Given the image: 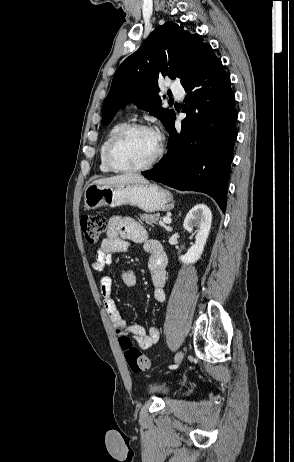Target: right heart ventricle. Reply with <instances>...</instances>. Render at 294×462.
I'll return each mask as SVG.
<instances>
[{"label":"right heart ventricle","instance_id":"obj_1","mask_svg":"<svg viewBox=\"0 0 294 462\" xmlns=\"http://www.w3.org/2000/svg\"><path fill=\"white\" fill-rule=\"evenodd\" d=\"M125 124H126V118H121V119L117 120L115 123H113L111 125V127L108 129V131H107V133L105 135V138H104L103 142L101 143V146L99 148V169L103 173H111L112 172V170H110L107 167V165L105 163V159H104V153H105L106 145H107L108 141L110 140V138L114 135V133L120 127H122Z\"/></svg>","mask_w":294,"mask_h":462}]
</instances>
